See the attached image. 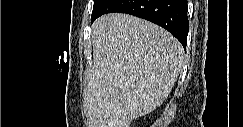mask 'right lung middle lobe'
Here are the masks:
<instances>
[{"instance_id":"dd1d6c3e","label":"right lung middle lobe","mask_w":243,"mask_h":127,"mask_svg":"<svg viewBox=\"0 0 243 127\" xmlns=\"http://www.w3.org/2000/svg\"><path fill=\"white\" fill-rule=\"evenodd\" d=\"M107 0H94V6L91 18L98 13V11L103 7Z\"/></svg>"}]
</instances>
